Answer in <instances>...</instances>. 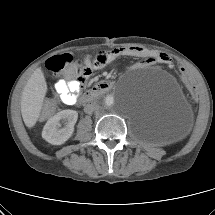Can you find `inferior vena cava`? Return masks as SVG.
Segmentation results:
<instances>
[{
    "label": "inferior vena cava",
    "instance_id": "1",
    "mask_svg": "<svg viewBox=\"0 0 215 215\" xmlns=\"http://www.w3.org/2000/svg\"><path fill=\"white\" fill-rule=\"evenodd\" d=\"M97 103L96 102H93V103H90V104H87L85 107H84V111L88 114H91L92 112H94L96 109H97Z\"/></svg>",
    "mask_w": 215,
    "mask_h": 215
}]
</instances>
